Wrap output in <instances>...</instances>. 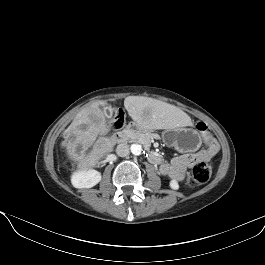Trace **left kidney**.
<instances>
[{
  "label": "left kidney",
  "instance_id": "obj_1",
  "mask_svg": "<svg viewBox=\"0 0 265 265\" xmlns=\"http://www.w3.org/2000/svg\"><path fill=\"white\" fill-rule=\"evenodd\" d=\"M170 187L173 189V190H178L179 189V184L176 180H171L170 181Z\"/></svg>",
  "mask_w": 265,
  "mask_h": 265
}]
</instances>
